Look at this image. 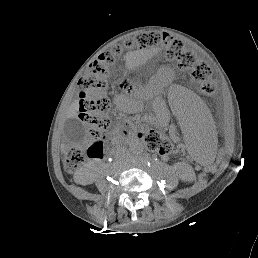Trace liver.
I'll return each mask as SVG.
<instances>
[{
	"label": "liver",
	"instance_id": "obj_1",
	"mask_svg": "<svg viewBox=\"0 0 258 258\" xmlns=\"http://www.w3.org/2000/svg\"><path fill=\"white\" fill-rule=\"evenodd\" d=\"M78 111H79V104H78V102H76L73 105V108H72V111H71V117H77Z\"/></svg>",
	"mask_w": 258,
	"mask_h": 258
}]
</instances>
